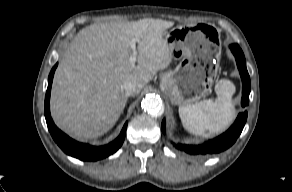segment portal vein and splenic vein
<instances>
[{
	"label": "portal vein and splenic vein",
	"mask_w": 292,
	"mask_h": 192,
	"mask_svg": "<svg viewBox=\"0 0 292 192\" xmlns=\"http://www.w3.org/2000/svg\"><path fill=\"white\" fill-rule=\"evenodd\" d=\"M136 42H138L137 38H133L130 42L132 53L130 55L129 61L130 63L134 64L137 58V50H136Z\"/></svg>",
	"instance_id": "portal-vein-and-splenic-vein-1"
}]
</instances>
